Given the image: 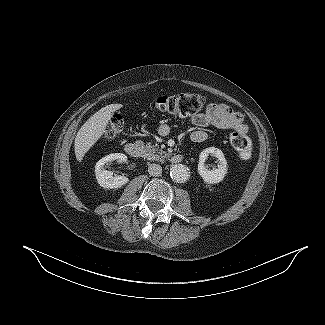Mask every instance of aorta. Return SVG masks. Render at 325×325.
Returning a JSON list of instances; mask_svg holds the SVG:
<instances>
[{"label":"aorta","mask_w":325,"mask_h":325,"mask_svg":"<svg viewBox=\"0 0 325 325\" xmlns=\"http://www.w3.org/2000/svg\"><path fill=\"white\" fill-rule=\"evenodd\" d=\"M170 177L174 182L183 183L189 178L188 169L182 164L174 165L170 169Z\"/></svg>","instance_id":"obj_1"}]
</instances>
